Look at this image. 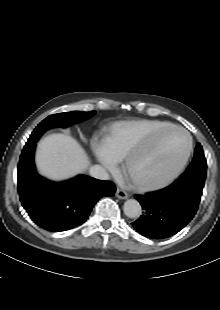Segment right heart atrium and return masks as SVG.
I'll return each mask as SVG.
<instances>
[{"label": "right heart atrium", "instance_id": "1", "mask_svg": "<svg viewBox=\"0 0 220 310\" xmlns=\"http://www.w3.org/2000/svg\"><path fill=\"white\" fill-rule=\"evenodd\" d=\"M98 160L110 171L115 172L117 169L116 163L114 162L103 150L102 146H100L97 151Z\"/></svg>", "mask_w": 220, "mask_h": 310}]
</instances>
